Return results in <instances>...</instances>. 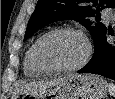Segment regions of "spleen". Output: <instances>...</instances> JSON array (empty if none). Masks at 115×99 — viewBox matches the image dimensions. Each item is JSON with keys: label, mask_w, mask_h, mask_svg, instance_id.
I'll use <instances>...</instances> for the list:
<instances>
[{"label": "spleen", "mask_w": 115, "mask_h": 99, "mask_svg": "<svg viewBox=\"0 0 115 99\" xmlns=\"http://www.w3.org/2000/svg\"><path fill=\"white\" fill-rule=\"evenodd\" d=\"M108 89H109L110 95H112V96L115 97V84L110 83V84L108 85Z\"/></svg>", "instance_id": "1"}]
</instances>
